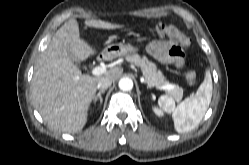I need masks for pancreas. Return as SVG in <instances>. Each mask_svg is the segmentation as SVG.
I'll list each match as a JSON object with an SVG mask.
<instances>
[{
  "instance_id": "pancreas-1",
  "label": "pancreas",
  "mask_w": 249,
  "mask_h": 165,
  "mask_svg": "<svg viewBox=\"0 0 249 165\" xmlns=\"http://www.w3.org/2000/svg\"><path fill=\"white\" fill-rule=\"evenodd\" d=\"M126 60L141 68L144 81L148 86H161L168 84L161 71L157 70L156 65L144 56L140 57L138 54L126 55ZM168 94L171 95L177 102L181 101L183 97V89L179 86H175L174 89L168 90Z\"/></svg>"
}]
</instances>
